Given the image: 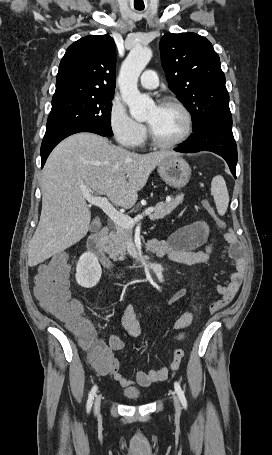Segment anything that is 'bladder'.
<instances>
[{"mask_svg": "<svg viewBox=\"0 0 272 455\" xmlns=\"http://www.w3.org/2000/svg\"><path fill=\"white\" fill-rule=\"evenodd\" d=\"M123 394L127 398L132 399V400H136V399L140 398V396H141L140 390L138 388H136V387L125 388L123 390Z\"/></svg>", "mask_w": 272, "mask_h": 455, "instance_id": "obj_1", "label": "bladder"}]
</instances>
